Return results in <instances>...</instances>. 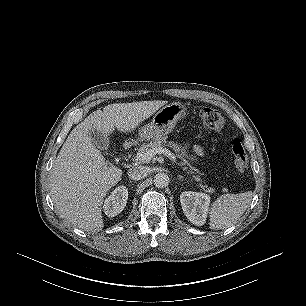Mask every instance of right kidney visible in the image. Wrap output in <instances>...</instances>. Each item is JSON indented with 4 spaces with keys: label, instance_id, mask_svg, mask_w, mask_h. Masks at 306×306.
Returning <instances> with one entry per match:
<instances>
[{
    "label": "right kidney",
    "instance_id": "ca27d5eb",
    "mask_svg": "<svg viewBox=\"0 0 306 306\" xmlns=\"http://www.w3.org/2000/svg\"><path fill=\"white\" fill-rule=\"evenodd\" d=\"M128 200V189L125 186L115 188L105 199L103 209L108 217H114L121 213Z\"/></svg>",
    "mask_w": 306,
    "mask_h": 306
}]
</instances>
